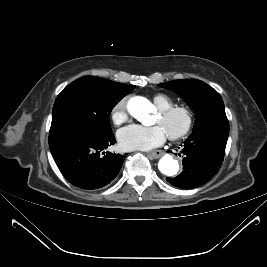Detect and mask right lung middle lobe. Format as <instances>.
Returning <instances> with one entry per match:
<instances>
[{
	"instance_id": "right-lung-middle-lobe-1",
	"label": "right lung middle lobe",
	"mask_w": 267,
	"mask_h": 267,
	"mask_svg": "<svg viewBox=\"0 0 267 267\" xmlns=\"http://www.w3.org/2000/svg\"><path fill=\"white\" fill-rule=\"evenodd\" d=\"M134 88L94 76L73 81L55 100L49 134L66 129L111 134L110 113Z\"/></svg>"
}]
</instances>
